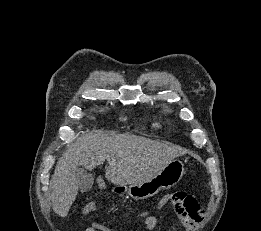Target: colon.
Masks as SVG:
<instances>
[{
    "label": "colon",
    "instance_id": "obj_1",
    "mask_svg": "<svg viewBox=\"0 0 261 231\" xmlns=\"http://www.w3.org/2000/svg\"><path fill=\"white\" fill-rule=\"evenodd\" d=\"M168 201L174 214L181 221H195L201 223L205 220L204 211L193 195L182 191H176L169 193Z\"/></svg>",
    "mask_w": 261,
    "mask_h": 231
}]
</instances>
